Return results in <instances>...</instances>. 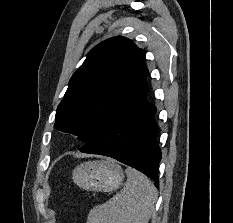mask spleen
<instances>
[{
  "instance_id": "1",
  "label": "spleen",
  "mask_w": 233,
  "mask_h": 223,
  "mask_svg": "<svg viewBox=\"0 0 233 223\" xmlns=\"http://www.w3.org/2000/svg\"><path fill=\"white\" fill-rule=\"evenodd\" d=\"M127 175L121 191L90 209L86 223H147L154 211L157 189L136 169H129Z\"/></svg>"
}]
</instances>
